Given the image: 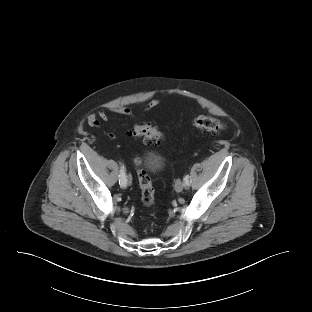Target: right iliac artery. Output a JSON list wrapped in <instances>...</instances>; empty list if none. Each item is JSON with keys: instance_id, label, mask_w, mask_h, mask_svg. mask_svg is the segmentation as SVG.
<instances>
[{"instance_id": "82829eb1", "label": "right iliac artery", "mask_w": 312, "mask_h": 312, "mask_svg": "<svg viewBox=\"0 0 312 312\" xmlns=\"http://www.w3.org/2000/svg\"><path fill=\"white\" fill-rule=\"evenodd\" d=\"M119 184L121 187H126V185H127V179H126V175H125L124 166H121V168H120Z\"/></svg>"}]
</instances>
